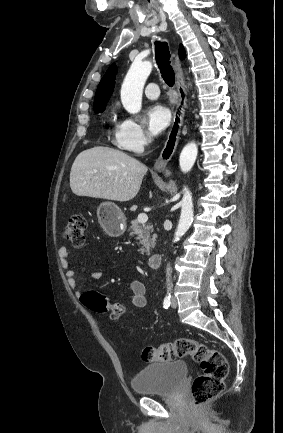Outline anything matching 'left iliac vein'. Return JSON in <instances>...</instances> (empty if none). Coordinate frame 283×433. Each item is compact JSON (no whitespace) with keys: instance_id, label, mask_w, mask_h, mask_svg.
<instances>
[{"instance_id":"4c4485c4","label":"left iliac vein","mask_w":283,"mask_h":433,"mask_svg":"<svg viewBox=\"0 0 283 433\" xmlns=\"http://www.w3.org/2000/svg\"><path fill=\"white\" fill-rule=\"evenodd\" d=\"M171 307L172 308H177V300L175 297L172 298L171 300Z\"/></svg>"}]
</instances>
